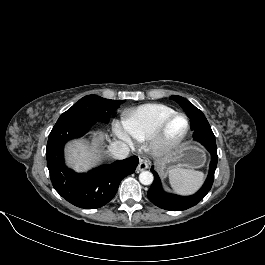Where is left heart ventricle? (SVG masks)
I'll use <instances>...</instances> for the list:
<instances>
[{"label":"left heart ventricle","mask_w":265,"mask_h":265,"mask_svg":"<svg viewBox=\"0 0 265 265\" xmlns=\"http://www.w3.org/2000/svg\"><path fill=\"white\" fill-rule=\"evenodd\" d=\"M185 128V120L180 116L174 117L169 123L165 136L167 139L172 140L181 135Z\"/></svg>","instance_id":"b2bd125f"}]
</instances>
